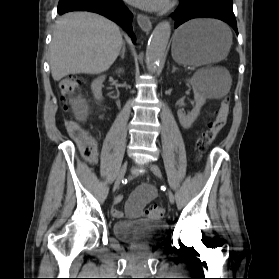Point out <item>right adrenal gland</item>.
<instances>
[{"mask_svg": "<svg viewBox=\"0 0 279 279\" xmlns=\"http://www.w3.org/2000/svg\"><path fill=\"white\" fill-rule=\"evenodd\" d=\"M120 56H121V59H124V57H125V42H123Z\"/></svg>", "mask_w": 279, "mask_h": 279, "instance_id": "right-adrenal-gland-1", "label": "right adrenal gland"}]
</instances>
